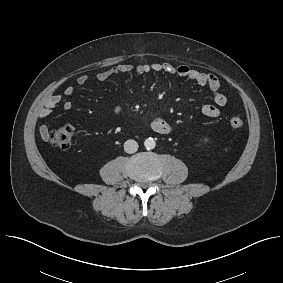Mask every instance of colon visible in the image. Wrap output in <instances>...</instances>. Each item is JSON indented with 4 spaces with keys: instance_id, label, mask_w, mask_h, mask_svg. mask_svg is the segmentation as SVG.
<instances>
[{
    "instance_id": "5ec220e1",
    "label": "colon",
    "mask_w": 283,
    "mask_h": 283,
    "mask_svg": "<svg viewBox=\"0 0 283 283\" xmlns=\"http://www.w3.org/2000/svg\"><path fill=\"white\" fill-rule=\"evenodd\" d=\"M229 125L234 129H238L242 127L243 120L238 116H233L229 119ZM74 133V127L72 125L66 124L50 130L47 133L46 137L48 142L53 147L60 150H67L72 145Z\"/></svg>"
}]
</instances>
